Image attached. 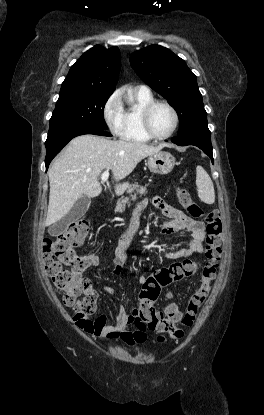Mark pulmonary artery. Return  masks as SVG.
<instances>
[{"mask_svg": "<svg viewBox=\"0 0 264 415\" xmlns=\"http://www.w3.org/2000/svg\"><path fill=\"white\" fill-rule=\"evenodd\" d=\"M137 90H139L141 92H150V89L146 85H139L137 87Z\"/></svg>", "mask_w": 264, "mask_h": 415, "instance_id": "1", "label": "pulmonary artery"}]
</instances>
